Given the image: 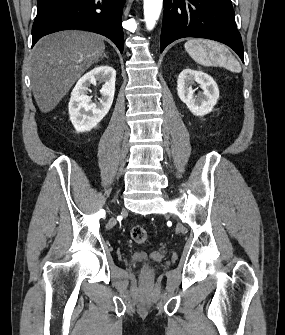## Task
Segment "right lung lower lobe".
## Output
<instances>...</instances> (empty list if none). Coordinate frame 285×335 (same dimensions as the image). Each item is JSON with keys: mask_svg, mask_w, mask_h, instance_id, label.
Returning a JSON list of instances; mask_svg holds the SVG:
<instances>
[{"mask_svg": "<svg viewBox=\"0 0 285 335\" xmlns=\"http://www.w3.org/2000/svg\"><path fill=\"white\" fill-rule=\"evenodd\" d=\"M125 0H38L32 47L43 36L68 29L95 32L123 52L121 16Z\"/></svg>", "mask_w": 285, "mask_h": 335, "instance_id": "obj_1", "label": "right lung lower lobe"}]
</instances>
